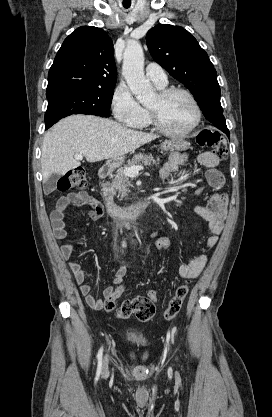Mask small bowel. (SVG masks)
Returning a JSON list of instances; mask_svg holds the SVG:
<instances>
[{"label": "small bowel", "instance_id": "small-bowel-1", "mask_svg": "<svg viewBox=\"0 0 272 417\" xmlns=\"http://www.w3.org/2000/svg\"><path fill=\"white\" fill-rule=\"evenodd\" d=\"M195 160L208 168L205 174L206 184L213 190H219L224 185V176L217 169L219 159L212 152H203L196 155ZM190 155L185 152L173 154L169 160L160 169L162 180L168 179L172 174L178 171L182 166L189 164ZM204 190V185L197 188L196 194L200 195ZM86 206L91 218L99 219L103 215L101 202L88 194L83 189L70 192L61 197L52 212V222L54 226V236L57 241L61 242L66 239L67 231L65 227V214L71 207ZM195 213L208 223L210 236L205 243L209 249L216 247L219 237L224 228V222L227 216V197L224 194H213L205 205L196 206ZM155 236V234H152ZM75 251V246L71 243H65L60 246V255L68 261ZM208 261L207 255L201 254L192 259L190 262L182 264L178 273L182 278H196L205 268ZM75 282L79 286L81 294L85 297L86 303L95 311H100L105 305V300L111 297L117 286L122 284L126 275V266L122 261L118 262V268L112 280V285L107 286L103 291V299L92 295V286L85 282L86 271L78 262H68Z\"/></svg>", "mask_w": 272, "mask_h": 417}]
</instances>
